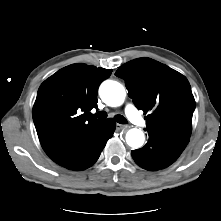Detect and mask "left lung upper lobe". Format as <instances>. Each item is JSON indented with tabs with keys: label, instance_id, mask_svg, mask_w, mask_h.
Wrapping results in <instances>:
<instances>
[{
	"label": "left lung upper lobe",
	"instance_id": "5c2ea615",
	"mask_svg": "<svg viewBox=\"0 0 221 221\" xmlns=\"http://www.w3.org/2000/svg\"><path fill=\"white\" fill-rule=\"evenodd\" d=\"M125 80L128 95L146 114L149 137L184 150L190 139L195 100L186 77L150 58H138L115 73Z\"/></svg>",
	"mask_w": 221,
	"mask_h": 221
}]
</instances>
